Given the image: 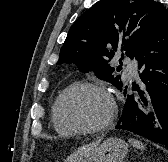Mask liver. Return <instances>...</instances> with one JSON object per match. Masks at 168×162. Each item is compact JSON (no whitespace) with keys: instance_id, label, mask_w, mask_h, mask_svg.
Wrapping results in <instances>:
<instances>
[{"instance_id":"liver-1","label":"liver","mask_w":168,"mask_h":162,"mask_svg":"<svg viewBox=\"0 0 168 162\" xmlns=\"http://www.w3.org/2000/svg\"><path fill=\"white\" fill-rule=\"evenodd\" d=\"M101 139L97 140L96 142H93L91 144H87V145H84L80 148H78L73 154H71L68 158H67V161L69 162L71 159H73L74 157L86 152V151H89L93 148H95L99 143H100Z\"/></svg>"}]
</instances>
